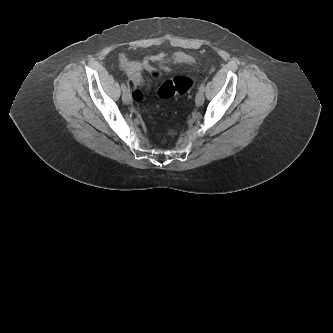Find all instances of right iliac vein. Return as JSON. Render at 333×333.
<instances>
[{
	"label": "right iliac vein",
	"instance_id": "right-iliac-vein-1",
	"mask_svg": "<svg viewBox=\"0 0 333 333\" xmlns=\"http://www.w3.org/2000/svg\"><path fill=\"white\" fill-rule=\"evenodd\" d=\"M122 100L125 104H129L130 103V94L129 92H124L122 95Z\"/></svg>",
	"mask_w": 333,
	"mask_h": 333
}]
</instances>
